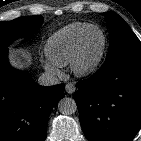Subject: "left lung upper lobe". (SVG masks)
<instances>
[{"instance_id":"obj_1","label":"left lung upper lobe","mask_w":141,"mask_h":141,"mask_svg":"<svg viewBox=\"0 0 141 141\" xmlns=\"http://www.w3.org/2000/svg\"><path fill=\"white\" fill-rule=\"evenodd\" d=\"M110 30V45L105 62L124 55H141V43L125 21L114 12L102 13Z\"/></svg>"}]
</instances>
